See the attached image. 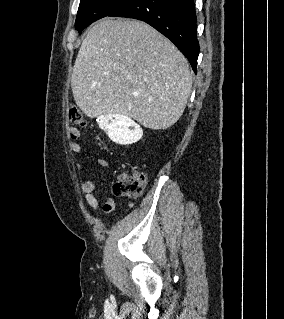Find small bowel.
Here are the masks:
<instances>
[{
  "instance_id": "c3829d8e",
  "label": "small bowel",
  "mask_w": 284,
  "mask_h": 319,
  "mask_svg": "<svg viewBox=\"0 0 284 319\" xmlns=\"http://www.w3.org/2000/svg\"><path fill=\"white\" fill-rule=\"evenodd\" d=\"M69 135L71 138V142L69 144L71 151L75 154L81 155L82 154V147L78 143L80 138V131L76 128H71L69 130ZM99 164L103 167H107L109 164L107 160L100 158L98 160ZM76 167L78 170L81 169V164L77 163ZM81 191L84 195V199L86 203L92 208L93 210H98L100 207V200L101 197L97 192L96 184L93 180H85L81 182ZM115 208V201L113 198H106L102 205V210L105 214H110L113 212Z\"/></svg>"
}]
</instances>
